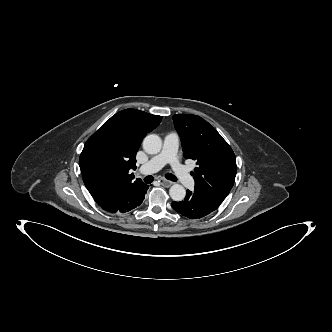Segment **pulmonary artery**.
<instances>
[{
    "mask_svg": "<svg viewBox=\"0 0 332 332\" xmlns=\"http://www.w3.org/2000/svg\"><path fill=\"white\" fill-rule=\"evenodd\" d=\"M179 146V136L177 133H168L164 137L162 150L152 157L147 163L139 168V173L151 174L159 171L165 164L170 163L172 170L186 187H192L194 180L187 169L178 161L177 149Z\"/></svg>",
    "mask_w": 332,
    "mask_h": 332,
    "instance_id": "e3ab8cb5",
    "label": "pulmonary artery"
}]
</instances>
